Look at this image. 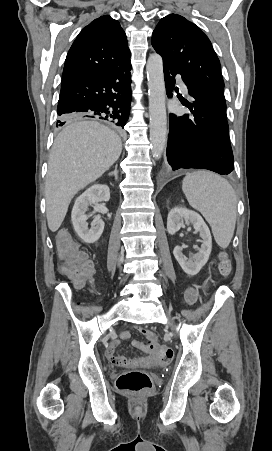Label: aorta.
Returning a JSON list of instances; mask_svg holds the SVG:
<instances>
[{"instance_id": "762f6f07", "label": "aorta", "mask_w": 272, "mask_h": 451, "mask_svg": "<svg viewBox=\"0 0 272 451\" xmlns=\"http://www.w3.org/2000/svg\"><path fill=\"white\" fill-rule=\"evenodd\" d=\"M149 94L150 142L155 160L161 158L167 140L166 90L163 60L159 54H150L146 66Z\"/></svg>"}]
</instances>
